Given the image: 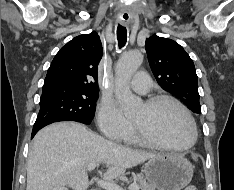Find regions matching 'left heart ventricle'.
<instances>
[{
    "label": "left heart ventricle",
    "instance_id": "left-heart-ventricle-1",
    "mask_svg": "<svg viewBox=\"0 0 234 190\" xmlns=\"http://www.w3.org/2000/svg\"><path fill=\"white\" fill-rule=\"evenodd\" d=\"M144 125L157 141L169 145H185L192 137V130L183 112L170 102H162L149 110L143 104L133 116Z\"/></svg>",
    "mask_w": 234,
    "mask_h": 190
}]
</instances>
